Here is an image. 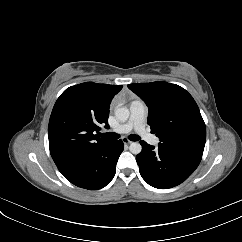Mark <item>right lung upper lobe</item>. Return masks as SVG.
I'll use <instances>...</instances> for the list:
<instances>
[{
    "instance_id": "cb5924a9",
    "label": "right lung upper lobe",
    "mask_w": 242,
    "mask_h": 242,
    "mask_svg": "<svg viewBox=\"0 0 242 242\" xmlns=\"http://www.w3.org/2000/svg\"><path fill=\"white\" fill-rule=\"evenodd\" d=\"M121 85L86 82L67 88L57 99L48 126L51 156L61 169L86 151L108 142L99 137L109 127V107Z\"/></svg>"
}]
</instances>
